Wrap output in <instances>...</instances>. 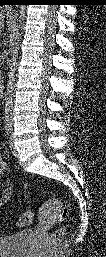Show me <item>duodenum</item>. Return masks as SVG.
<instances>
[{"label": "duodenum", "instance_id": "duodenum-1", "mask_svg": "<svg viewBox=\"0 0 106 257\" xmlns=\"http://www.w3.org/2000/svg\"><path fill=\"white\" fill-rule=\"evenodd\" d=\"M3 90V86L2 85H0V91H2Z\"/></svg>", "mask_w": 106, "mask_h": 257}]
</instances>
